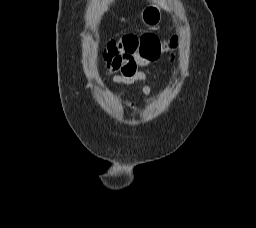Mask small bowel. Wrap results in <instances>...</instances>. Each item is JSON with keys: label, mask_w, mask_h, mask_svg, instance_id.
Returning a JSON list of instances; mask_svg holds the SVG:
<instances>
[{"label": "small bowel", "mask_w": 256, "mask_h": 228, "mask_svg": "<svg viewBox=\"0 0 256 228\" xmlns=\"http://www.w3.org/2000/svg\"><path fill=\"white\" fill-rule=\"evenodd\" d=\"M158 58L151 59L139 53L125 54L118 58L114 64L107 66V68L108 72L112 74L113 82L127 85L139 82L142 86V93L148 96L151 94V87L148 85L146 74L139 68L152 64ZM126 104L135 109L137 108L135 102H127Z\"/></svg>", "instance_id": "1"}]
</instances>
